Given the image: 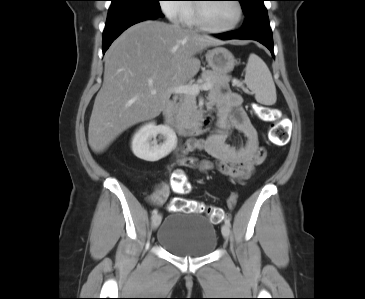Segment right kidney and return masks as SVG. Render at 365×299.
I'll return each instance as SVG.
<instances>
[{"mask_svg": "<svg viewBox=\"0 0 365 299\" xmlns=\"http://www.w3.org/2000/svg\"><path fill=\"white\" fill-rule=\"evenodd\" d=\"M157 135L163 142L157 143ZM177 136L166 125H156L154 122L142 126L133 136L131 148L133 154L139 159L155 162L171 153L176 147Z\"/></svg>", "mask_w": 365, "mask_h": 299, "instance_id": "ca27d5eb", "label": "right kidney"}]
</instances>
